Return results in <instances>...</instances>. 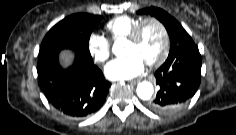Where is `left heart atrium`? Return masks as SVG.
I'll list each match as a JSON object with an SVG mask.
<instances>
[{
  "label": "left heart atrium",
  "instance_id": "obj_1",
  "mask_svg": "<svg viewBox=\"0 0 236 135\" xmlns=\"http://www.w3.org/2000/svg\"><path fill=\"white\" fill-rule=\"evenodd\" d=\"M145 68V61L138 54L110 61L104 69L105 75L111 80L130 79L140 75Z\"/></svg>",
  "mask_w": 236,
  "mask_h": 135
}]
</instances>
